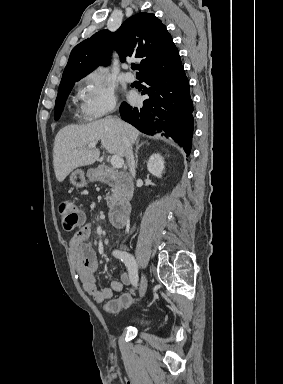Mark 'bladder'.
Masks as SVG:
<instances>
[{
	"label": "bladder",
	"instance_id": "31cf9c89",
	"mask_svg": "<svg viewBox=\"0 0 283 384\" xmlns=\"http://www.w3.org/2000/svg\"><path fill=\"white\" fill-rule=\"evenodd\" d=\"M124 327L147 331L151 328L150 315L146 311L139 312L134 316L127 317L123 323Z\"/></svg>",
	"mask_w": 283,
	"mask_h": 384
}]
</instances>
